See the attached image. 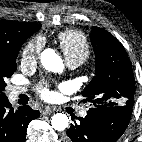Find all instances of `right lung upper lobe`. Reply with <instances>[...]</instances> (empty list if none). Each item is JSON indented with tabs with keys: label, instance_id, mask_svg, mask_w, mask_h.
I'll list each match as a JSON object with an SVG mask.
<instances>
[{
	"label": "right lung upper lobe",
	"instance_id": "1",
	"mask_svg": "<svg viewBox=\"0 0 142 142\" xmlns=\"http://www.w3.org/2000/svg\"><path fill=\"white\" fill-rule=\"evenodd\" d=\"M41 28V24L0 20V49L29 38Z\"/></svg>",
	"mask_w": 142,
	"mask_h": 142
}]
</instances>
